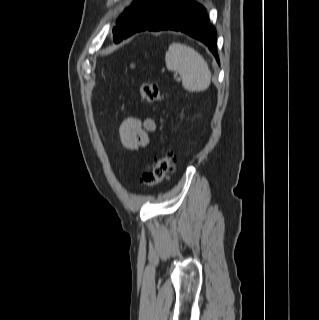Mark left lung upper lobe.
I'll return each mask as SVG.
<instances>
[{
    "label": "left lung upper lobe",
    "mask_w": 319,
    "mask_h": 320,
    "mask_svg": "<svg viewBox=\"0 0 319 320\" xmlns=\"http://www.w3.org/2000/svg\"><path fill=\"white\" fill-rule=\"evenodd\" d=\"M158 0H135L131 6L126 8L117 20L113 29V40L115 43L125 38L133 24Z\"/></svg>",
    "instance_id": "left-lung-upper-lobe-1"
}]
</instances>
